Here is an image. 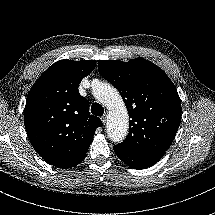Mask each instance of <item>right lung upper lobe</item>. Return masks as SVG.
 <instances>
[{
  "label": "right lung upper lobe",
  "mask_w": 215,
  "mask_h": 215,
  "mask_svg": "<svg viewBox=\"0 0 215 215\" xmlns=\"http://www.w3.org/2000/svg\"><path fill=\"white\" fill-rule=\"evenodd\" d=\"M95 60H60L32 86L24 109L29 140L39 155L59 168L78 165L102 121L89 113L88 100L78 92Z\"/></svg>",
  "instance_id": "right-lung-upper-lobe-1"
}]
</instances>
